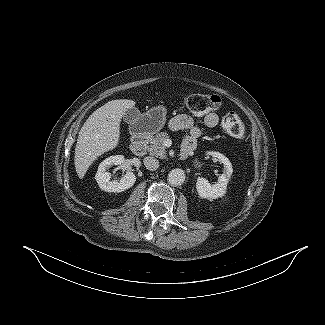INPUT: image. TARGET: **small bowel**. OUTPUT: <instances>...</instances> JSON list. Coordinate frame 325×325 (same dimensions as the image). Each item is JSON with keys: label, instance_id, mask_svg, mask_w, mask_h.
I'll use <instances>...</instances> for the list:
<instances>
[{"label": "small bowel", "instance_id": "c3829d8e", "mask_svg": "<svg viewBox=\"0 0 325 325\" xmlns=\"http://www.w3.org/2000/svg\"><path fill=\"white\" fill-rule=\"evenodd\" d=\"M203 123L208 128H214L218 124V116L215 113H208L204 116ZM169 127L172 130H188L189 135L185 138L183 145H190L195 149L201 130L195 125L191 116L179 114L170 120Z\"/></svg>", "mask_w": 325, "mask_h": 325}]
</instances>
